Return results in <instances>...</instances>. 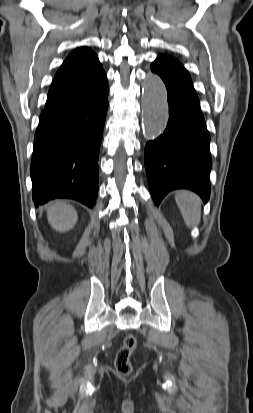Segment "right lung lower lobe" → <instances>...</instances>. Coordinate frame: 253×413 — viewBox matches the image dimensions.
<instances>
[{"mask_svg":"<svg viewBox=\"0 0 253 413\" xmlns=\"http://www.w3.org/2000/svg\"><path fill=\"white\" fill-rule=\"evenodd\" d=\"M107 108L106 78L91 94L42 111L30 167L36 206L55 198L96 204Z\"/></svg>","mask_w":253,"mask_h":413,"instance_id":"obj_1","label":"right lung lower lobe"}]
</instances>
